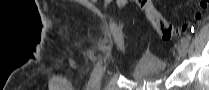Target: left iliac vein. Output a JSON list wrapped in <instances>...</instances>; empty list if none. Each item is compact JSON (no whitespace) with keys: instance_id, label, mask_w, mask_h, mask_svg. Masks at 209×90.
Instances as JSON below:
<instances>
[{"instance_id":"obj_1","label":"left iliac vein","mask_w":209,"mask_h":90,"mask_svg":"<svg viewBox=\"0 0 209 90\" xmlns=\"http://www.w3.org/2000/svg\"><path fill=\"white\" fill-rule=\"evenodd\" d=\"M177 51L181 58H185L187 54V45H185L182 41L177 44Z\"/></svg>"}]
</instances>
